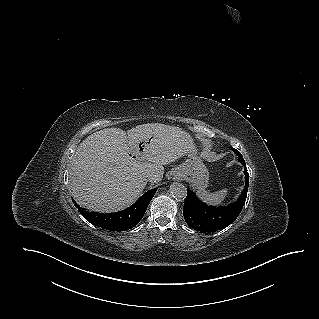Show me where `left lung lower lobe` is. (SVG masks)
Masks as SVG:
<instances>
[{
  "instance_id": "1",
  "label": "left lung lower lobe",
  "mask_w": 319,
  "mask_h": 319,
  "mask_svg": "<svg viewBox=\"0 0 319 319\" xmlns=\"http://www.w3.org/2000/svg\"><path fill=\"white\" fill-rule=\"evenodd\" d=\"M241 163L245 166L246 181L240 198L233 204L223 207H209L200 202L190 189H187L183 216L190 227L201 232H214L229 226L238 217L245 204L249 185V174L245 161H241Z\"/></svg>"
}]
</instances>
